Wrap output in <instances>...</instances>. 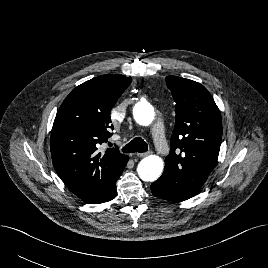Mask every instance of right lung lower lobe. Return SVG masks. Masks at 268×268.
Masks as SVG:
<instances>
[{
  "instance_id": "1",
  "label": "right lung lower lobe",
  "mask_w": 268,
  "mask_h": 268,
  "mask_svg": "<svg viewBox=\"0 0 268 268\" xmlns=\"http://www.w3.org/2000/svg\"><path fill=\"white\" fill-rule=\"evenodd\" d=\"M128 160L126 161L125 165L123 166V168L120 170V172L118 173V175L115 177L112 185L110 186V188L107 190V192L101 197V199L98 200V202H96L95 204H99V203H104V202H108L112 199L115 198L116 196V181L118 180V178L120 177V175L122 174L126 164H127Z\"/></svg>"
}]
</instances>
